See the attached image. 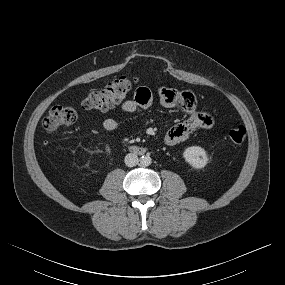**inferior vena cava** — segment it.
<instances>
[{
	"label": "inferior vena cava",
	"mask_w": 285,
	"mask_h": 285,
	"mask_svg": "<svg viewBox=\"0 0 285 285\" xmlns=\"http://www.w3.org/2000/svg\"><path fill=\"white\" fill-rule=\"evenodd\" d=\"M124 161L128 167L136 166L138 164V156L133 153H129L125 156Z\"/></svg>",
	"instance_id": "602c4592"
}]
</instances>
